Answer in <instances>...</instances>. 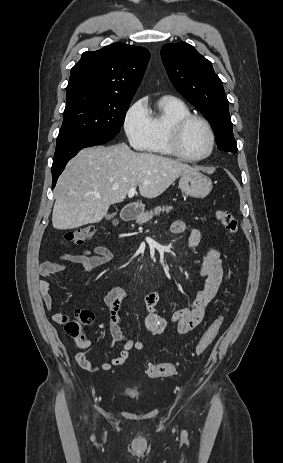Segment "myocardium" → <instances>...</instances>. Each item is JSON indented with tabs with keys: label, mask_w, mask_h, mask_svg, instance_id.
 Masks as SVG:
<instances>
[{
	"label": "myocardium",
	"mask_w": 283,
	"mask_h": 463,
	"mask_svg": "<svg viewBox=\"0 0 283 463\" xmlns=\"http://www.w3.org/2000/svg\"><path fill=\"white\" fill-rule=\"evenodd\" d=\"M194 121L201 122L207 129L209 136H210V148L205 155L200 156V157H191L187 155L183 151L182 145H181L182 136H183V133L186 127ZM215 145H216V136H215L214 129L212 125L210 124V122L206 118L200 115L190 114V115L180 118L172 125L170 132H169V148L172 154L176 156L177 158L187 161V162L195 163V162H201V161L208 159L213 154L215 150Z\"/></svg>",
	"instance_id": "obj_1"
}]
</instances>
